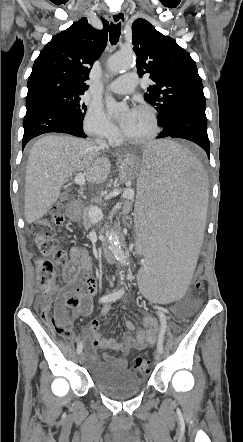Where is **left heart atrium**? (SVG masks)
<instances>
[{
    "instance_id": "1",
    "label": "left heart atrium",
    "mask_w": 243,
    "mask_h": 442,
    "mask_svg": "<svg viewBox=\"0 0 243 442\" xmlns=\"http://www.w3.org/2000/svg\"><path fill=\"white\" fill-rule=\"evenodd\" d=\"M135 112H136V109H131V110H129V112L127 113L126 118L122 121V124H121L122 128H124V127L128 124V122H129L130 119L133 117V115L135 114Z\"/></svg>"
}]
</instances>
